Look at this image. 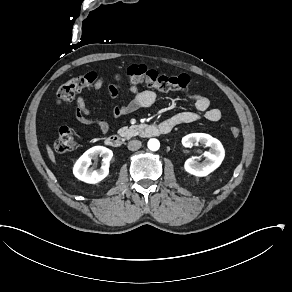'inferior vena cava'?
Returning a JSON list of instances; mask_svg holds the SVG:
<instances>
[{
  "label": "inferior vena cava",
  "mask_w": 292,
  "mask_h": 292,
  "mask_svg": "<svg viewBox=\"0 0 292 292\" xmlns=\"http://www.w3.org/2000/svg\"><path fill=\"white\" fill-rule=\"evenodd\" d=\"M141 147V141L133 140L128 143V149L130 151H136Z\"/></svg>",
  "instance_id": "602c4592"
}]
</instances>
